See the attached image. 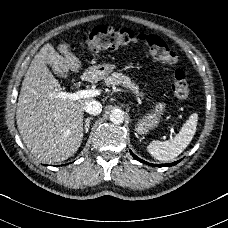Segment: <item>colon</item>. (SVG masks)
<instances>
[{
  "mask_svg": "<svg viewBox=\"0 0 228 228\" xmlns=\"http://www.w3.org/2000/svg\"><path fill=\"white\" fill-rule=\"evenodd\" d=\"M129 43H142L149 47L154 56L173 69V91L177 97H187L189 86L186 72L178 66L179 60L164 39L157 35L135 33L129 28L95 26L88 34L92 50L114 49Z\"/></svg>",
  "mask_w": 228,
  "mask_h": 228,
  "instance_id": "colon-1",
  "label": "colon"
}]
</instances>
